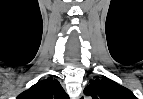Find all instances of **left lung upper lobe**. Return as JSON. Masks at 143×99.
Here are the masks:
<instances>
[{
	"instance_id": "obj_1",
	"label": "left lung upper lobe",
	"mask_w": 143,
	"mask_h": 99,
	"mask_svg": "<svg viewBox=\"0 0 143 99\" xmlns=\"http://www.w3.org/2000/svg\"><path fill=\"white\" fill-rule=\"evenodd\" d=\"M84 94L92 99H137L130 90L107 77L91 79Z\"/></svg>"
}]
</instances>
